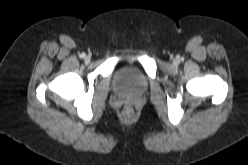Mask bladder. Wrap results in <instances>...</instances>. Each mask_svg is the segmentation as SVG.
Here are the masks:
<instances>
[{
  "mask_svg": "<svg viewBox=\"0 0 248 165\" xmlns=\"http://www.w3.org/2000/svg\"><path fill=\"white\" fill-rule=\"evenodd\" d=\"M113 85L118 93L126 97H139L148 89V79L136 65H123L113 73Z\"/></svg>",
  "mask_w": 248,
  "mask_h": 165,
  "instance_id": "bladder-1",
  "label": "bladder"
}]
</instances>
